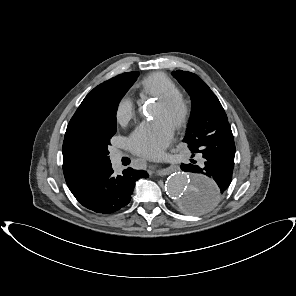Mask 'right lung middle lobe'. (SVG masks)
<instances>
[{
  "mask_svg": "<svg viewBox=\"0 0 296 296\" xmlns=\"http://www.w3.org/2000/svg\"><path fill=\"white\" fill-rule=\"evenodd\" d=\"M137 71L126 73L111 85L104 96L90 107L87 112V133L76 152L83 158L109 159L108 145L116 133V111L121 98L136 81Z\"/></svg>",
  "mask_w": 296,
  "mask_h": 296,
  "instance_id": "right-lung-middle-lobe-1",
  "label": "right lung middle lobe"
}]
</instances>
